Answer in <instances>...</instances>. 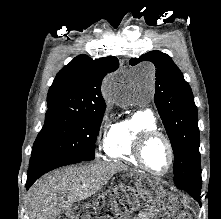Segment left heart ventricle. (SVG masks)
Segmentation results:
<instances>
[{
    "instance_id": "left-heart-ventricle-1",
    "label": "left heart ventricle",
    "mask_w": 221,
    "mask_h": 219,
    "mask_svg": "<svg viewBox=\"0 0 221 219\" xmlns=\"http://www.w3.org/2000/svg\"><path fill=\"white\" fill-rule=\"evenodd\" d=\"M148 166L157 172H164L169 164L168 149L163 140L156 138L148 143L144 151Z\"/></svg>"
}]
</instances>
